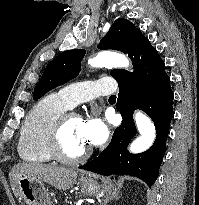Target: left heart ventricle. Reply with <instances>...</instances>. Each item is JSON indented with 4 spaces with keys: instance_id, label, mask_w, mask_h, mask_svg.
<instances>
[{
    "instance_id": "b2bd125f",
    "label": "left heart ventricle",
    "mask_w": 199,
    "mask_h": 205,
    "mask_svg": "<svg viewBox=\"0 0 199 205\" xmlns=\"http://www.w3.org/2000/svg\"><path fill=\"white\" fill-rule=\"evenodd\" d=\"M81 121L80 118L73 116L67 121L63 130L62 148L68 155L78 154L88 147L80 132Z\"/></svg>"
}]
</instances>
